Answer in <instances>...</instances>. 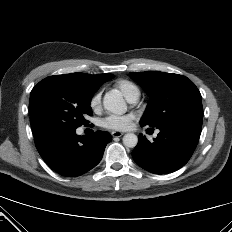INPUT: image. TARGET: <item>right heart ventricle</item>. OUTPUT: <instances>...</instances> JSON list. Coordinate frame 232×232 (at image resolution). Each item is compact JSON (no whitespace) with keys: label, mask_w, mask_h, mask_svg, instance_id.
<instances>
[{"label":"right heart ventricle","mask_w":232,"mask_h":232,"mask_svg":"<svg viewBox=\"0 0 232 232\" xmlns=\"http://www.w3.org/2000/svg\"><path fill=\"white\" fill-rule=\"evenodd\" d=\"M114 87L129 101H134L140 96V88L130 80H118L115 82Z\"/></svg>","instance_id":"e07e8e85"}]
</instances>
